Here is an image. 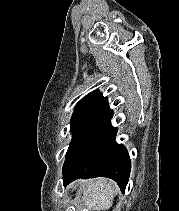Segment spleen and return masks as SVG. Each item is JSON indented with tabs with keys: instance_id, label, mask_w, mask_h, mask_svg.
<instances>
[{
	"instance_id": "obj_1",
	"label": "spleen",
	"mask_w": 179,
	"mask_h": 211,
	"mask_svg": "<svg viewBox=\"0 0 179 211\" xmlns=\"http://www.w3.org/2000/svg\"><path fill=\"white\" fill-rule=\"evenodd\" d=\"M117 190V185L106 179L90 180L82 185V199L89 209L108 210L112 206Z\"/></svg>"
}]
</instances>
